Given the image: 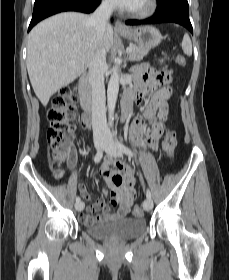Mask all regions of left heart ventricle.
<instances>
[{
  "label": "left heart ventricle",
  "mask_w": 229,
  "mask_h": 280,
  "mask_svg": "<svg viewBox=\"0 0 229 280\" xmlns=\"http://www.w3.org/2000/svg\"><path fill=\"white\" fill-rule=\"evenodd\" d=\"M146 3V0H138L135 1L134 4L130 7L131 9H140L142 8Z\"/></svg>",
  "instance_id": "b2bd125f"
}]
</instances>
